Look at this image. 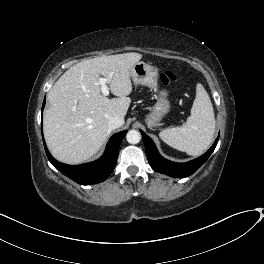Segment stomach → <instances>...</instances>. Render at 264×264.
Returning <instances> with one entry per match:
<instances>
[{"instance_id": "0dacf381", "label": "stomach", "mask_w": 264, "mask_h": 264, "mask_svg": "<svg viewBox=\"0 0 264 264\" xmlns=\"http://www.w3.org/2000/svg\"><path fill=\"white\" fill-rule=\"evenodd\" d=\"M130 76L135 84L145 85L155 92L154 97L156 103L146 116L145 121L149 127H156L162 118L170 111L168 91L165 89H158V69L140 61L131 68Z\"/></svg>"}]
</instances>
